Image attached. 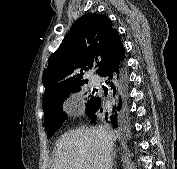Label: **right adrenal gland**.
<instances>
[{
    "label": "right adrenal gland",
    "instance_id": "2a0ac1e0",
    "mask_svg": "<svg viewBox=\"0 0 177 169\" xmlns=\"http://www.w3.org/2000/svg\"><path fill=\"white\" fill-rule=\"evenodd\" d=\"M113 158H114V156H113ZM113 165H114V161L112 162V166H111V169H113L112 167H113Z\"/></svg>",
    "mask_w": 177,
    "mask_h": 169
}]
</instances>
